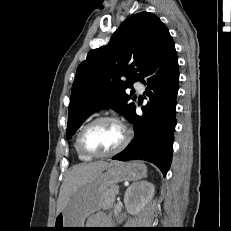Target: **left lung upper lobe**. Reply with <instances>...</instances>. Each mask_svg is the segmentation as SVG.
I'll return each mask as SVG.
<instances>
[{
  "label": "left lung upper lobe",
  "mask_w": 231,
  "mask_h": 231,
  "mask_svg": "<svg viewBox=\"0 0 231 231\" xmlns=\"http://www.w3.org/2000/svg\"><path fill=\"white\" fill-rule=\"evenodd\" d=\"M168 34L157 16L141 12L126 19L106 46L88 53L72 86L68 139L88 115L102 108H112L130 119L135 104L125 89L142 80Z\"/></svg>",
  "instance_id": "obj_1"
}]
</instances>
